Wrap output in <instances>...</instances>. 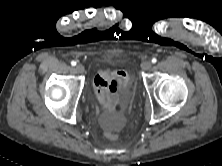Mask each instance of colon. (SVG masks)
<instances>
[{
	"label": "colon",
	"instance_id": "5ec220e1",
	"mask_svg": "<svg viewBox=\"0 0 222 166\" xmlns=\"http://www.w3.org/2000/svg\"><path fill=\"white\" fill-rule=\"evenodd\" d=\"M107 137L109 139L115 140L117 138V135L115 133H112V132H107Z\"/></svg>",
	"mask_w": 222,
	"mask_h": 166
}]
</instances>
